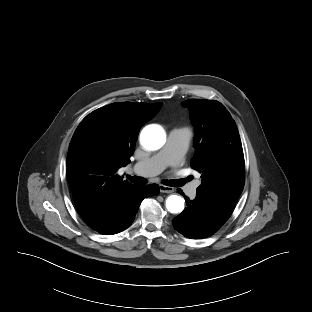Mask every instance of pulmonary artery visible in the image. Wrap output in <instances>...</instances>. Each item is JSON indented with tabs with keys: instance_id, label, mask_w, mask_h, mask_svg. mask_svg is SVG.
Listing matches in <instances>:
<instances>
[{
	"instance_id": "e3ab8cb5",
	"label": "pulmonary artery",
	"mask_w": 312,
	"mask_h": 312,
	"mask_svg": "<svg viewBox=\"0 0 312 312\" xmlns=\"http://www.w3.org/2000/svg\"><path fill=\"white\" fill-rule=\"evenodd\" d=\"M190 138L186 129H172L162 150L149 159L137 161L133 166L134 170L142 175H156L168 166L177 165L189 147ZM198 185L199 182L190 185L187 191L190 197L196 195Z\"/></svg>"
}]
</instances>
